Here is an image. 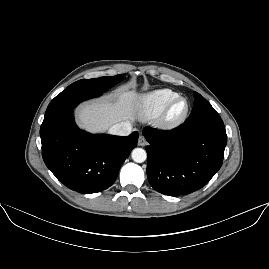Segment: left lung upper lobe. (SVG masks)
Here are the masks:
<instances>
[{
  "label": "left lung upper lobe",
  "instance_id": "1",
  "mask_svg": "<svg viewBox=\"0 0 269 269\" xmlns=\"http://www.w3.org/2000/svg\"><path fill=\"white\" fill-rule=\"evenodd\" d=\"M194 99L192 112L184 123L195 124L206 120L220 118L219 114L214 110L211 104L199 93L194 92Z\"/></svg>",
  "mask_w": 269,
  "mask_h": 269
}]
</instances>
